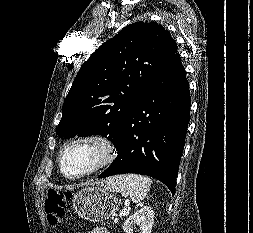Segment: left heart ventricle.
Returning a JSON list of instances; mask_svg holds the SVG:
<instances>
[{"label":"left heart ventricle","instance_id":"b2bd125f","mask_svg":"<svg viewBox=\"0 0 253 233\" xmlns=\"http://www.w3.org/2000/svg\"><path fill=\"white\" fill-rule=\"evenodd\" d=\"M99 156L97 148L90 145H81L71 148L64 156V170L75 175L89 169Z\"/></svg>","mask_w":253,"mask_h":233}]
</instances>
